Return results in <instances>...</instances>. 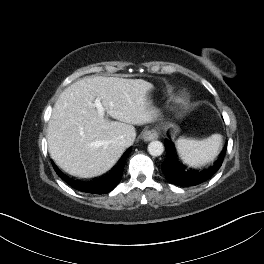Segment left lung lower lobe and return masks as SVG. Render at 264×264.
I'll return each instance as SVG.
<instances>
[{"mask_svg": "<svg viewBox=\"0 0 264 264\" xmlns=\"http://www.w3.org/2000/svg\"><path fill=\"white\" fill-rule=\"evenodd\" d=\"M167 156L161 165L162 171L170 183L178 186H195L208 180L222 165L226 146L214 164L203 170H195L184 166L177 158L174 144L165 140Z\"/></svg>", "mask_w": 264, "mask_h": 264, "instance_id": "1", "label": "left lung lower lobe"}]
</instances>
